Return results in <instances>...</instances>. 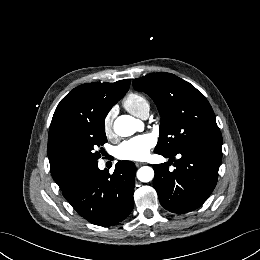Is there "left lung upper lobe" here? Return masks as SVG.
Here are the masks:
<instances>
[{
	"label": "left lung upper lobe",
	"instance_id": "left-lung-upper-lobe-1",
	"mask_svg": "<svg viewBox=\"0 0 260 260\" xmlns=\"http://www.w3.org/2000/svg\"><path fill=\"white\" fill-rule=\"evenodd\" d=\"M133 86L153 99L161 116L154 152L175 154L193 145H222V135L209 102L190 83L160 72L135 79Z\"/></svg>",
	"mask_w": 260,
	"mask_h": 260
}]
</instances>
